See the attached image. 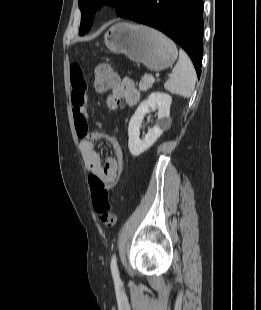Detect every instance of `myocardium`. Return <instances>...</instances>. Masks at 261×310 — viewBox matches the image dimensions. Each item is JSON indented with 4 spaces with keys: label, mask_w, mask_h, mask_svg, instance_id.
I'll use <instances>...</instances> for the list:
<instances>
[{
    "label": "myocardium",
    "mask_w": 261,
    "mask_h": 310,
    "mask_svg": "<svg viewBox=\"0 0 261 310\" xmlns=\"http://www.w3.org/2000/svg\"><path fill=\"white\" fill-rule=\"evenodd\" d=\"M108 7H109V8H112V7H113V3H110V4L108 5Z\"/></svg>",
    "instance_id": "f54148a6"
}]
</instances>
